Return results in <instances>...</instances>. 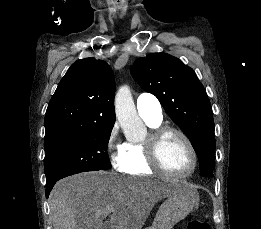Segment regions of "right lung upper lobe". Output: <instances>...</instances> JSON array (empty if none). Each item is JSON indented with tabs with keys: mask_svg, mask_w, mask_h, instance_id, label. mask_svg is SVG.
<instances>
[{
	"mask_svg": "<svg viewBox=\"0 0 261 229\" xmlns=\"http://www.w3.org/2000/svg\"><path fill=\"white\" fill-rule=\"evenodd\" d=\"M113 71L103 60L76 61L61 79L45 115L44 146L60 143L95 125H114Z\"/></svg>",
	"mask_w": 261,
	"mask_h": 229,
	"instance_id": "1",
	"label": "right lung upper lobe"
}]
</instances>
